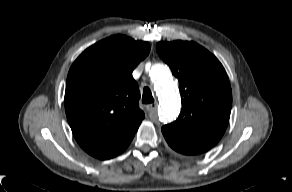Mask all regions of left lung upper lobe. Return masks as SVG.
Here are the masks:
<instances>
[{
  "mask_svg": "<svg viewBox=\"0 0 292 192\" xmlns=\"http://www.w3.org/2000/svg\"><path fill=\"white\" fill-rule=\"evenodd\" d=\"M156 48L179 80L183 107L177 120L162 129L216 145L227 128L232 106L231 86L222 64L194 42H159Z\"/></svg>",
  "mask_w": 292,
  "mask_h": 192,
  "instance_id": "obj_1",
  "label": "left lung upper lobe"
}]
</instances>
